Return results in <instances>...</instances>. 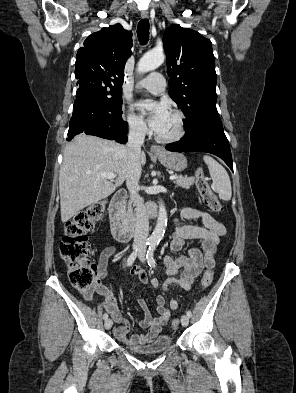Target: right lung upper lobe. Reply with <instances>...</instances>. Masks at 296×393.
<instances>
[{"label": "right lung upper lobe", "mask_w": 296, "mask_h": 393, "mask_svg": "<svg viewBox=\"0 0 296 393\" xmlns=\"http://www.w3.org/2000/svg\"><path fill=\"white\" fill-rule=\"evenodd\" d=\"M132 46V32L124 30L120 24L91 34L77 52L76 79L92 77L121 89L124 66Z\"/></svg>", "instance_id": "cb5924a9"}]
</instances>
